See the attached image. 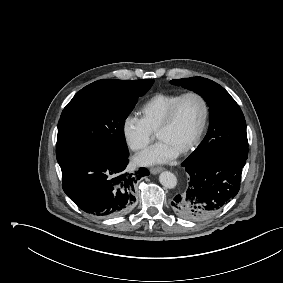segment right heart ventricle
<instances>
[{
	"instance_id": "obj_1",
	"label": "right heart ventricle",
	"mask_w": 283,
	"mask_h": 283,
	"mask_svg": "<svg viewBox=\"0 0 283 283\" xmlns=\"http://www.w3.org/2000/svg\"><path fill=\"white\" fill-rule=\"evenodd\" d=\"M180 95L181 93H158L141 106V119L151 132L158 130L168 110Z\"/></svg>"
}]
</instances>
